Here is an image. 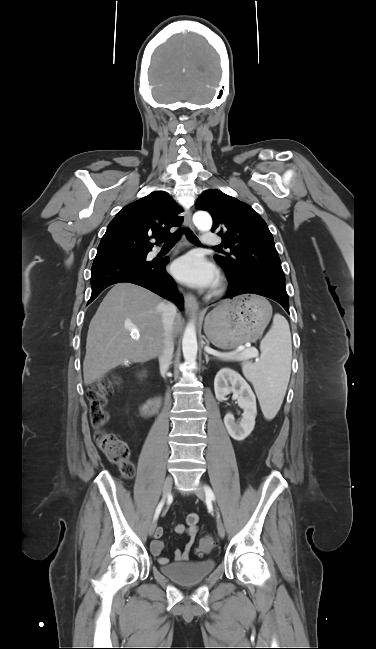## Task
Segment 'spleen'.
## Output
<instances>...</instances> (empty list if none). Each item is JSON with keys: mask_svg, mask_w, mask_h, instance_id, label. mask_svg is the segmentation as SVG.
<instances>
[{"mask_svg": "<svg viewBox=\"0 0 376 649\" xmlns=\"http://www.w3.org/2000/svg\"><path fill=\"white\" fill-rule=\"evenodd\" d=\"M260 349V361L250 367L244 366L242 370L254 386L264 416L272 419L281 407L291 372V333L282 315L275 314Z\"/></svg>", "mask_w": 376, "mask_h": 649, "instance_id": "obj_1", "label": "spleen"}]
</instances>
